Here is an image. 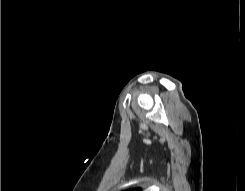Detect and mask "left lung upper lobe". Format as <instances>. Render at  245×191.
Wrapping results in <instances>:
<instances>
[{
    "label": "left lung upper lobe",
    "instance_id": "5c2ea615",
    "mask_svg": "<svg viewBox=\"0 0 245 191\" xmlns=\"http://www.w3.org/2000/svg\"><path fill=\"white\" fill-rule=\"evenodd\" d=\"M127 191H141L140 188H135V189H128Z\"/></svg>",
    "mask_w": 245,
    "mask_h": 191
}]
</instances>
